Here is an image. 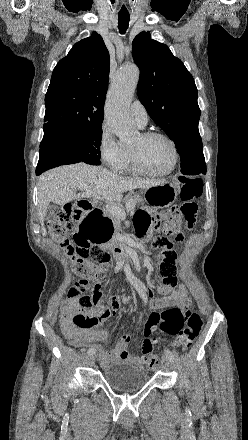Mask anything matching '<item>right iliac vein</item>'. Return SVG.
<instances>
[{
	"label": "right iliac vein",
	"mask_w": 248,
	"mask_h": 440,
	"mask_svg": "<svg viewBox=\"0 0 248 440\" xmlns=\"http://www.w3.org/2000/svg\"><path fill=\"white\" fill-rule=\"evenodd\" d=\"M88 365L92 366L95 362V357L93 355H89L87 358Z\"/></svg>",
	"instance_id": "63e3f726"
}]
</instances>
